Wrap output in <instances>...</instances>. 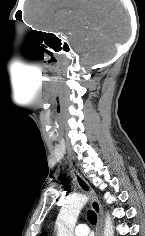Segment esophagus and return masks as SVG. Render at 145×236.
<instances>
[{
  "label": "esophagus",
  "instance_id": "esophagus-1",
  "mask_svg": "<svg viewBox=\"0 0 145 236\" xmlns=\"http://www.w3.org/2000/svg\"><path fill=\"white\" fill-rule=\"evenodd\" d=\"M70 169H71V174L74 177V180L76 181L77 185L79 188L85 192L89 198H90V205L95 211L97 215V227H96V233L97 236H102L103 232V211L102 207L95 195L94 190L91 188L89 183L82 177V175L73 167L72 163L70 162Z\"/></svg>",
  "mask_w": 145,
  "mask_h": 236
}]
</instances>
